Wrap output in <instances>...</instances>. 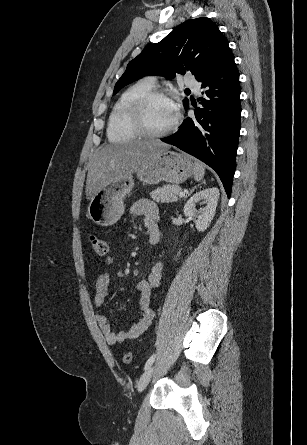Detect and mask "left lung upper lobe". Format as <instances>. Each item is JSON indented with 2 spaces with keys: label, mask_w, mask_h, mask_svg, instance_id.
Instances as JSON below:
<instances>
[{
  "label": "left lung upper lobe",
  "mask_w": 307,
  "mask_h": 445,
  "mask_svg": "<svg viewBox=\"0 0 307 445\" xmlns=\"http://www.w3.org/2000/svg\"><path fill=\"white\" fill-rule=\"evenodd\" d=\"M233 56L226 38L209 18L187 20L130 61L113 94L147 75L173 78L191 72L202 82ZM183 103L187 108L188 99Z\"/></svg>",
  "instance_id": "left-lung-upper-lobe-1"
}]
</instances>
